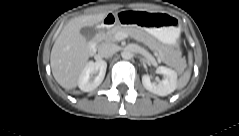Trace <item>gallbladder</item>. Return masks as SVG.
Masks as SVG:
<instances>
[{"label":"gallbladder","mask_w":239,"mask_h":136,"mask_svg":"<svg viewBox=\"0 0 239 136\" xmlns=\"http://www.w3.org/2000/svg\"><path fill=\"white\" fill-rule=\"evenodd\" d=\"M80 33L85 39L92 40L96 34V31L94 27L86 26L81 28Z\"/></svg>","instance_id":"bac80fb5"}]
</instances>
